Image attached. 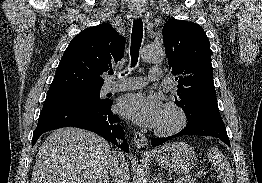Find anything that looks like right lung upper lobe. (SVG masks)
<instances>
[{"mask_svg":"<svg viewBox=\"0 0 262 183\" xmlns=\"http://www.w3.org/2000/svg\"><path fill=\"white\" fill-rule=\"evenodd\" d=\"M124 48V37L108 23L83 30L65 50L48 92L102 87V74L122 59Z\"/></svg>","mask_w":262,"mask_h":183,"instance_id":"cb5924a9","label":"right lung upper lobe"}]
</instances>
